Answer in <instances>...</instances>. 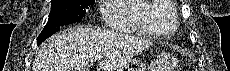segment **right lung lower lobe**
Returning <instances> with one entry per match:
<instances>
[{"instance_id": "obj_1", "label": "right lung lower lobe", "mask_w": 230, "mask_h": 71, "mask_svg": "<svg viewBox=\"0 0 230 71\" xmlns=\"http://www.w3.org/2000/svg\"><path fill=\"white\" fill-rule=\"evenodd\" d=\"M61 26L50 28V29H44L39 37L37 38V44H40L44 40H46L48 37H50L52 34L57 32L60 29Z\"/></svg>"}]
</instances>
